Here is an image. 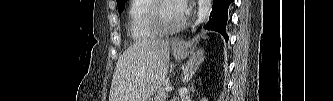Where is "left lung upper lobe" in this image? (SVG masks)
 <instances>
[{
  "label": "left lung upper lobe",
  "mask_w": 333,
  "mask_h": 101,
  "mask_svg": "<svg viewBox=\"0 0 333 101\" xmlns=\"http://www.w3.org/2000/svg\"><path fill=\"white\" fill-rule=\"evenodd\" d=\"M126 0H117L118 11L121 13L124 9Z\"/></svg>",
  "instance_id": "5c2ea615"
}]
</instances>
